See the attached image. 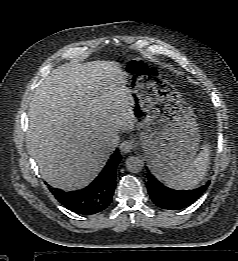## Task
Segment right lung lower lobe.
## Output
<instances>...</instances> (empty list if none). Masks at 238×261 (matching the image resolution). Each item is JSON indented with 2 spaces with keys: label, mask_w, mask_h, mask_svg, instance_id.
<instances>
[{
  "label": "right lung lower lobe",
  "mask_w": 238,
  "mask_h": 261,
  "mask_svg": "<svg viewBox=\"0 0 238 261\" xmlns=\"http://www.w3.org/2000/svg\"><path fill=\"white\" fill-rule=\"evenodd\" d=\"M120 161L116 150L104 170L86 188L64 192L50 189L56 199L71 211L81 215H91L106 209L112 201L115 188V168Z\"/></svg>",
  "instance_id": "98d812e1"
}]
</instances>
